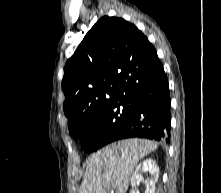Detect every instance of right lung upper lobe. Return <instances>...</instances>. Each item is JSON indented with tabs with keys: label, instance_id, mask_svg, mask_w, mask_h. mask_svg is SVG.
<instances>
[{
	"label": "right lung upper lobe",
	"instance_id": "1",
	"mask_svg": "<svg viewBox=\"0 0 221 193\" xmlns=\"http://www.w3.org/2000/svg\"><path fill=\"white\" fill-rule=\"evenodd\" d=\"M160 64L155 48L134 24L102 17L64 68L63 109L69 129L114 101L133 99Z\"/></svg>",
	"mask_w": 221,
	"mask_h": 193
}]
</instances>
